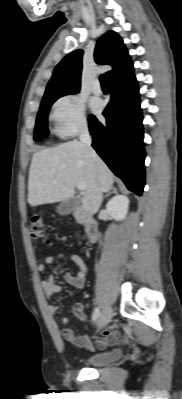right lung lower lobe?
<instances>
[{
	"instance_id": "obj_1",
	"label": "right lung lower lobe",
	"mask_w": 182,
	"mask_h": 399,
	"mask_svg": "<svg viewBox=\"0 0 182 399\" xmlns=\"http://www.w3.org/2000/svg\"><path fill=\"white\" fill-rule=\"evenodd\" d=\"M111 100L103 124L89 116L93 148L128 189L141 195L145 185L142 113L133 74L110 82Z\"/></svg>"
}]
</instances>
